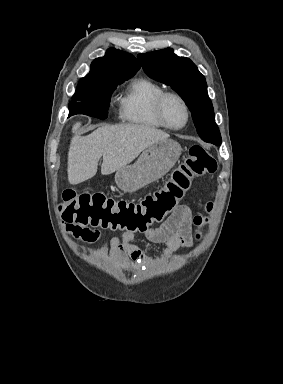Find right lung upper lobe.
<instances>
[{"instance_id": "obj_1", "label": "right lung upper lobe", "mask_w": 283, "mask_h": 384, "mask_svg": "<svg viewBox=\"0 0 283 384\" xmlns=\"http://www.w3.org/2000/svg\"><path fill=\"white\" fill-rule=\"evenodd\" d=\"M139 68L133 55L111 48L107 50L104 57L92 62L90 72L79 81L77 89L124 82L131 78Z\"/></svg>"}]
</instances>
